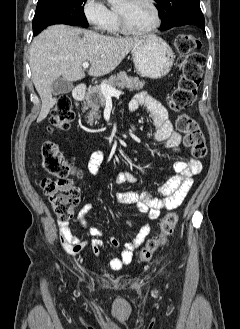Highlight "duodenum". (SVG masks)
Wrapping results in <instances>:
<instances>
[{"label": "duodenum", "mask_w": 240, "mask_h": 329, "mask_svg": "<svg viewBox=\"0 0 240 329\" xmlns=\"http://www.w3.org/2000/svg\"><path fill=\"white\" fill-rule=\"evenodd\" d=\"M85 93H86V86L84 84H79L74 88L73 97L77 105H79L84 101Z\"/></svg>", "instance_id": "410a0bca"}]
</instances>
